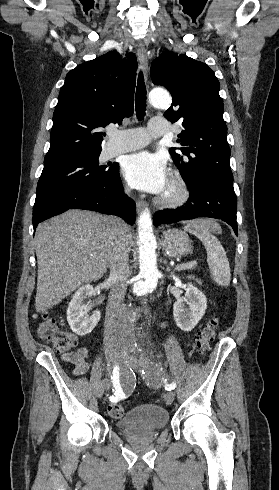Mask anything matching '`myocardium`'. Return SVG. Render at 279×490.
<instances>
[{
    "label": "myocardium",
    "instance_id": "obj_1",
    "mask_svg": "<svg viewBox=\"0 0 279 490\" xmlns=\"http://www.w3.org/2000/svg\"><path fill=\"white\" fill-rule=\"evenodd\" d=\"M169 192L159 200L161 207L175 209L186 203L190 197L189 188L177 171H173L169 184Z\"/></svg>",
    "mask_w": 279,
    "mask_h": 490
}]
</instances>
